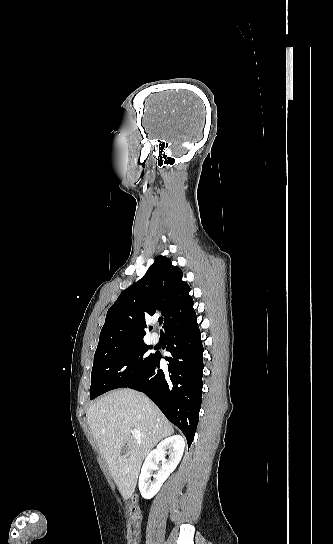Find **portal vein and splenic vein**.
<instances>
[{
    "label": "portal vein and splenic vein",
    "instance_id": "18ae733b",
    "mask_svg": "<svg viewBox=\"0 0 333 544\" xmlns=\"http://www.w3.org/2000/svg\"><path fill=\"white\" fill-rule=\"evenodd\" d=\"M132 434H133V436H135L136 438L143 437V435L140 433V431H139L138 429H133Z\"/></svg>",
    "mask_w": 333,
    "mask_h": 544
}]
</instances>
